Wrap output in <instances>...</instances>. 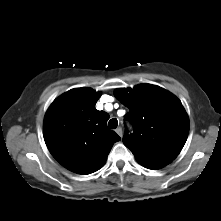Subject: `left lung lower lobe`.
Segmentation results:
<instances>
[{
	"label": "left lung lower lobe",
	"mask_w": 221,
	"mask_h": 221,
	"mask_svg": "<svg viewBox=\"0 0 221 221\" xmlns=\"http://www.w3.org/2000/svg\"><path fill=\"white\" fill-rule=\"evenodd\" d=\"M142 166L148 168V169H159V168H162L164 167L165 165L169 164V163H142V162H139Z\"/></svg>",
	"instance_id": "obj_1"
}]
</instances>
